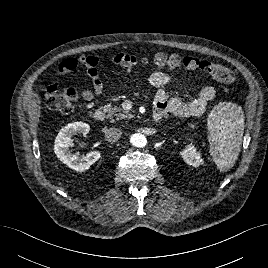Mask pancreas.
I'll use <instances>...</instances> for the list:
<instances>
[{
    "label": "pancreas",
    "mask_w": 268,
    "mask_h": 268,
    "mask_svg": "<svg viewBox=\"0 0 268 268\" xmlns=\"http://www.w3.org/2000/svg\"><path fill=\"white\" fill-rule=\"evenodd\" d=\"M103 110L107 113V116L110 118L116 117L117 120L125 119L127 117H131L127 111H122L120 107L114 106L112 107L111 103L105 105Z\"/></svg>",
    "instance_id": "pancreas-1"
}]
</instances>
